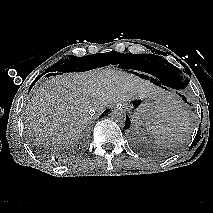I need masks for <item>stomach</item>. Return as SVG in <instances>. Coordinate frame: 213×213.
<instances>
[{
    "mask_svg": "<svg viewBox=\"0 0 213 213\" xmlns=\"http://www.w3.org/2000/svg\"><path fill=\"white\" fill-rule=\"evenodd\" d=\"M164 105L152 98H137L129 103L128 108L134 122L138 125L154 124L157 114L162 112Z\"/></svg>",
    "mask_w": 213,
    "mask_h": 213,
    "instance_id": "0dacf381",
    "label": "stomach"
}]
</instances>
